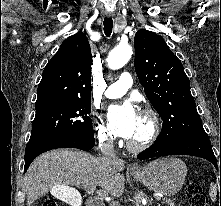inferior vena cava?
I'll return each instance as SVG.
<instances>
[{
	"mask_svg": "<svg viewBox=\"0 0 221 206\" xmlns=\"http://www.w3.org/2000/svg\"><path fill=\"white\" fill-rule=\"evenodd\" d=\"M100 149L104 157L118 160V157L116 156V153L114 151V144L113 139L110 138H104L100 140ZM111 206H120L118 202H113Z\"/></svg>",
	"mask_w": 221,
	"mask_h": 206,
	"instance_id": "1",
	"label": "inferior vena cava"
}]
</instances>
